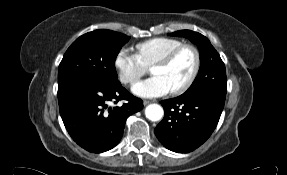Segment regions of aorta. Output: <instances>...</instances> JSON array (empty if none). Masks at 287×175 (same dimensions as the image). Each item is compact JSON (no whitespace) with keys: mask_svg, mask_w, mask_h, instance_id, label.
I'll list each match as a JSON object with an SVG mask.
<instances>
[{"mask_svg":"<svg viewBox=\"0 0 287 175\" xmlns=\"http://www.w3.org/2000/svg\"><path fill=\"white\" fill-rule=\"evenodd\" d=\"M163 115V108L158 104H150L145 109V116L151 121H159Z\"/></svg>","mask_w":287,"mask_h":175,"instance_id":"obj_1","label":"aorta"}]
</instances>
